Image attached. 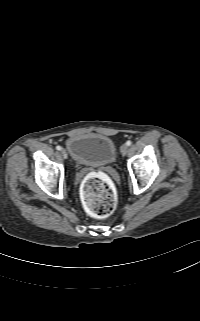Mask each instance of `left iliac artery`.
<instances>
[{"label": "left iliac artery", "mask_w": 200, "mask_h": 321, "mask_svg": "<svg viewBox=\"0 0 200 321\" xmlns=\"http://www.w3.org/2000/svg\"><path fill=\"white\" fill-rule=\"evenodd\" d=\"M131 144H132V142L130 140L126 142L127 146H130Z\"/></svg>", "instance_id": "obj_1"}]
</instances>
